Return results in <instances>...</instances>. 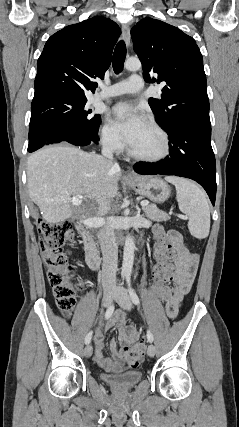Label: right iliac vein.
I'll list each match as a JSON object with an SVG mask.
<instances>
[{
  "label": "right iliac vein",
  "mask_w": 239,
  "mask_h": 427,
  "mask_svg": "<svg viewBox=\"0 0 239 427\" xmlns=\"http://www.w3.org/2000/svg\"><path fill=\"white\" fill-rule=\"evenodd\" d=\"M114 293L115 292L112 290H108V291L104 292L102 303L105 307H108L111 304L112 299L114 297ZM92 353H93V347H92V345L88 344L84 349V355L86 357H90L92 355Z\"/></svg>",
  "instance_id": "63e3f726"
}]
</instances>
